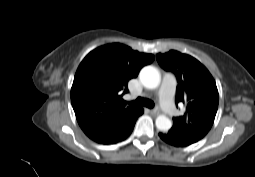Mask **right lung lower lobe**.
Returning <instances> with one entry per match:
<instances>
[{"mask_svg":"<svg viewBox=\"0 0 255 177\" xmlns=\"http://www.w3.org/2000/svg\"><path fill=\"white\" fill-rule=\"evenodd\" d=\"M143 114L142 108H136L123 114L98 131L87 135L100 144H115L125 140L132 132L137 118Z\"/></svg>","mask_w":255,"mask_h":177,"instance_id":"1","label":"right lung lower lobe"}]
</instances>
